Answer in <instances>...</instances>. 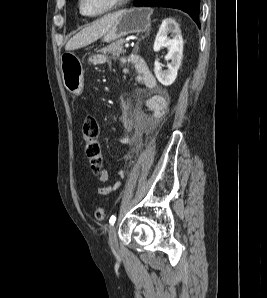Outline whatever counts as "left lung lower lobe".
<instances>
[{"label": "left lung lower lobe", "mask_w": 267, "mask_h": 298, "mask_svg": "<svg viewBox=\"0 0 267 298\" xmlns=\"http://www.w3.org/2000/svg\"><path fill=\"white\" fill-rule=\"evenodd\" d=\"M200 0H134L135 7H168L180 9L190 15V17L200 27L199 19Z\"/></svg>", "instance_id": "0a47b994"}]
</instances>
